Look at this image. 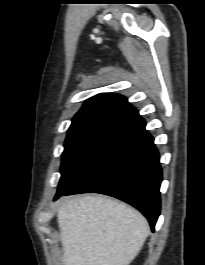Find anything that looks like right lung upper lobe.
I'll use <instances>...</instances> for the list:
<instances>
[{
  "instance_id": "1",
  "label": "right lung upper lobe",
  "mask_w": 205,
  "mask_h": 265,
  "mask_svg": "<svg viewBox=\"0 0 205 265\" xmlns=\"http://www.w3.org/2000/svg\"><path fill=\"white\" fill-rule=\"evenodd\" d=\"M140 118L127 98L118 94L101 93L89 98L72 119L68 133L97 125L129 126Z\"/></svg>"
}]
</instances>
